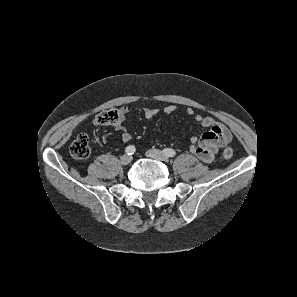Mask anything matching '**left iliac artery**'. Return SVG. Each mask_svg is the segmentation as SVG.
Masks as SVG:
<instances>
[{"mask_svg": "<svg viewBox=\"0 0 297 297\" xmlns=\"http://www.w3.org/2000/svg\"><path fill=\"white\" fill-rule=\"evenodd\" d=\"M163 153L167 156V157H174L176 155L175 150L171 149V148H166L163 150Z\"/></svg>", "mask_w": 297, "mask_h": 297, "instance_id": "obj_1", "label": "left iliac artery"}]
</instances>
